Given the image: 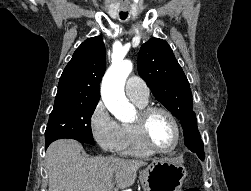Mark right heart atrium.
Returning a JSON list of instances; mask_svg holds the SVG:
<instances>
[{
    "label": "right heart atrium",
    "instance_id": "d8ad5b80",
    "mask_svg": "<svg viewBox=\"0 0 251 191\" xmlns=\"http://www.w3.org/2000/svg\"><path fill=\"white\" fill-rule=\"evenodd\" d=\"M88 125L92 139L102 151L119 150L122 140L121 124L110 114L103 101L97 102L92 109Z\"/></svg>",
    "mask_w": 251,
    "mask_h": 191
}]
</instances>
